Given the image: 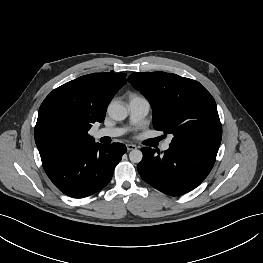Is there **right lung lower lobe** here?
<instances>
[{
  "instance_id": "right-lung-lower-lobe-1",
  "label": "right lung lower lobe",
  "mask_w": 263,
  "mask_h": 263,
  "mask_svg": "<svg viewBox=\"0 0 263 263\" xmlns=\"http://www.w3.org/2000/svg\"><path fill=\"white\" fill-rule=\"evenodd\" d=\"M126 150L121 143L103 145L93 140L69 147L43 167L60 191L73 198H84L110 182Z\"/></svg>"
}]
</instances>
